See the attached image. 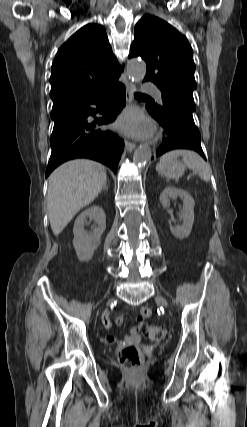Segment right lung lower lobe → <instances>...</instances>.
Here are the masks:
<instances>
[{"label":"right lung lower lobe","mask_w":247,"mask_h":427,"mask_svg":"<svg viewBox=\"0 0 247 427\" xmlns=\"http://www.w3.org/2000/svg\"><path fill=\"white\" fill-rule=\"evenodd\" d=\"M91 105H96V108ZM124 106L125 87L117 82L92 99L53 107L52 152L46 177L58 165L76 158L96 160L116 172L124 142L113 132L98 129V126L113 122ZM98 112L103 116L94 121L88 119Z\"/></svg>","instance_id":"obj_1"}]
</instances>
